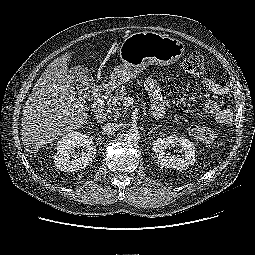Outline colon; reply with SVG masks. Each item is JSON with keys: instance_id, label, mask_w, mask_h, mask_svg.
<instances>
[{"instance_id": "1", "label": "colon", "mask_w": 255, "mask_h": 255, "mask_svg": "<svg viewBox=\"0 0 255 255\" xmlns=\"http://www.w3.org/2000/svg\"><path fill=\"white\" fill-rule=\"evenodd\" d=\"M182 68L185 73L190 76H198L203 72L204 69V57L199 52L191 53L182 64ZM187 132L197 141L203 143H212L217 139V134L212 129L200 126V125H189Z\"/></svg>"}]
</instances>
